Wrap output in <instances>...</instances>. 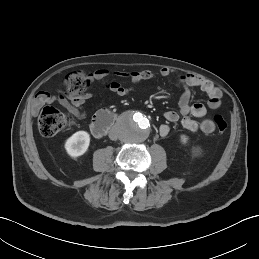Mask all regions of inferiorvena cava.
I'll use <instances>...</instances> for the list:
<instances>
[{"instance_id": "inferior-vena-cava-1", "label": "inferior vena cava", "mask_w": 259, "mask_h": 259, "mask_svg": "<svg viewBox=\"0 0 259 259\" xmlns=\"http://www.w3.org/2000/svg\"><path fill=\"white\" fill-rule=\"evenodd\" d=\"M109 137H110L111 140H116L118 138V135L115 131H111L109 133Z\"/></svg>"}]
</instances>
